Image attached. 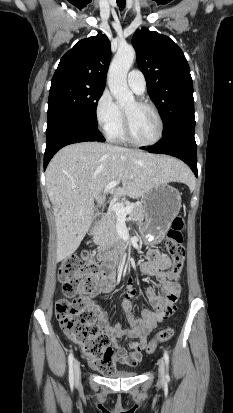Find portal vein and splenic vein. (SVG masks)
<instances>
[{
  "label": "portal vein and splenic vein",
  "instance_id": "portal-vein-and-splenic-vein-1",
  "mask_svg": "<svg viewBox=\"0 0 233 413\" xmlns=\"http://www.w3.org/2000/svg\"><path fill=\"white\" fill-rule=\"evenodd\" d=\"M118 184H120V180H115V181L110 182L109 184L106 185L104 189V193L109 192L111 189L116 187ZM110 209L116 213L118 218L126 219L127 214H129L133 209V204L124 207L121 203H114L110 205Z\"/></svg>",
  "mask_w": 233,
  "mask_h": 413
}]
</instances>
